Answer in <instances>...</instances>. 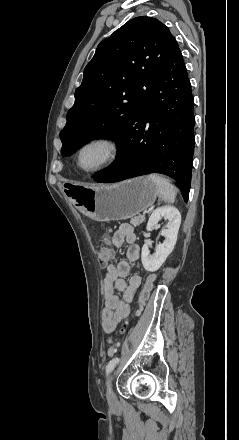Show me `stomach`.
Here are the masks:
<instances>
[{
	"mask_svg": "<svg viewBox=\"0 0 239 440\" xmlns=\"http://www.w3.org/2000/svg\"><path fill=\"white\" fill-rule=\"evenodd\" d=\"M71 190L74 206L95 222L128 220L152 206L159 194L149 176L95 188L72 184Z\"/></svg>",
	"mask_w": 239,
	"mask_h": 440,
	"instance_id": "obj_1",
	"label": "stomach"
}]
</instances>
